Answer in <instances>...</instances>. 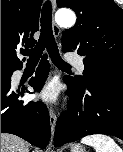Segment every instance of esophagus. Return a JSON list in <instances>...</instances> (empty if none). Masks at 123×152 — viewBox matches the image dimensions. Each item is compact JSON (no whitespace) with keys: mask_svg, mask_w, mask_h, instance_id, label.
I'll return each mask as SVG.
<instances>
[{"mask_svg":"<svg viewBox=\"0 0 123 152\" xmlns=\"http://www.w3.org/2000/svg\"><path fill=\"white\" fill-rule=\"evenodd\" d=\"M50 1H51V5L54 9L56 7V0H50ZM52 26H53L54 35L56 37H58L60 35V28L58 27V25L55 22H53ZM49 116H50L51 133L53 135L54 131H55V127H56L57 115L52 106L50 107V110H49Z\"/></svg>","mask_w":123,"mask_h":152,"instance_id":"34e87169","label":"esophagus"}]
</instances>
